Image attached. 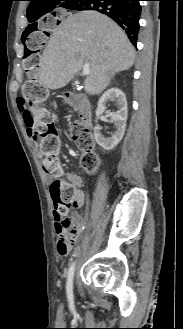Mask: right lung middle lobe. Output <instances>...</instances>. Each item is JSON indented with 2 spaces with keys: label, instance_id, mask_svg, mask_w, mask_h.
<instances>
[{
  "label": "right lung middle lobe",
  "instance_id": "dd1d6c3e",
  "mask_svg": "<svg viewBox=\"0 0 183 329\" xmlns=\"http://www.w3.org/2000/svg\"><path fill=\"white\" fill-rule=\"evenodd\" d=\"M69 4V2L66 4V5H59V3H55L54 5L50 6L46 11L48 13H52L53 15L55 14V12L60 8H66L67 9V5ZM43 16V15H42ZM30 31L29 30H26L25 33H29ZM25 38H23L22 40L24 41Z\"/></svg>",
  "mask_w": 183,
  "mask_h": 329
}]
</instances>
